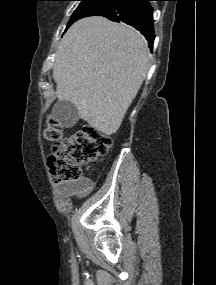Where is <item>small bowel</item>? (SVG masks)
Segmentation results:
<instances>
[{
	"instance_id": "c3829d8e",
	"label": "small bowel",
	"mask_w": 216,
	"mask_h": 285,
	"mask_svg": "<svg viewBox=\"0 0 216 285\" xmlns=\"http://www.w3.org/2000/svg\"><path fill=\"white\" fill-rule=\"evenodd\" d=\"M92 188V184L88 179H82L77 182L59 183L57 186L58 193L61 196L84 195Z\"/></svg>"
}]
</instances>
